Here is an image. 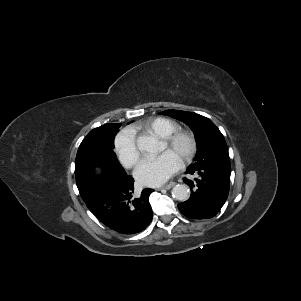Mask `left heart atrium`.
<instances>
[{"instance_id":"39dd6f15","label":"left heart atrium","mask_w":301,"mask_h":301,"mask_svg":"<svg viewBox=\"0 0 301 301\" xmlns=\"http://www.w3.org/2000/svg\"><path fill=\"white\" fill-rule=\"evenodd\" d=\"M181 167V160L171 152L141 162L135 171L136 179L144 185L158 186L169 179Z\"/></svg>"}]
</instances>
